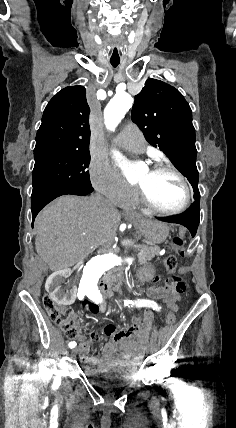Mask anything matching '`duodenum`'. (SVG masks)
Here are the masks:
<instances>
[{
	"mask_svg": "<svg viewBox=\"0 0 236 428\" xmlns=\"http://www.w3.org/2000/svg\"><path fill=\"white\" fill-rule=\"evenodd\" d=\"M120 290V285L114 284L110 279H105L100 283L98 293L100 294L102 300H107L118 294Z\"/></svg>",
	"mask_w": 236,
	"mask_h": 428,
	"instance_id": "duodenum-1",
	"label": "duodenum"
}]
</instances>
